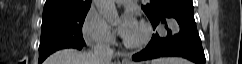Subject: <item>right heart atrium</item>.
<instances>
[{
	"mask_svg": "<svg viewBox=\"0 0 242 64\" xmlns=\"http://www.w3.org/2000/svg\"><path fill=\"white\" fill-rule=\"evenodd\" d=\"M81 34L86 42L93 45H108L114 39L108 23L92 8L88 10L83 19Z\"/></svg>",
	"mask_w": 242,
	"mask_h": 64,
	"instance_id": "obj_1",
	"label": "right heart atrium"
}]
</instances>
